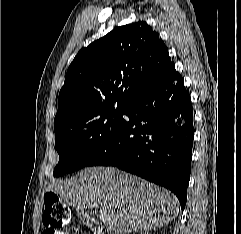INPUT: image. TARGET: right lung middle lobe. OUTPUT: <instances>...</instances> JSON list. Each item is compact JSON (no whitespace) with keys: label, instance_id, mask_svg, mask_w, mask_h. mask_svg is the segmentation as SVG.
Segmentation results:
<instances>
[{"label":"right lung middle lobe","instance_id":"1","mask_svg":"<svg viewBox=\"0 0 241 234\" xmlns=\"http://www.w3.org/2000/svg\"><path fill=\"white\" fill-rule=\"evenodd\" d=\"M126 105L106 104L94 108L77 122L55 131L59 162L54 169V177L87 166L119 127Z\"/></svg>","mask_w":241,"mask_h":234}]
</instances>
